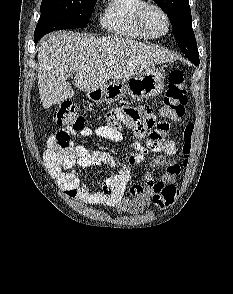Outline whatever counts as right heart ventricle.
I'll return each instance as SVG.
<instances>
[{"instance_id": "1", "label": "right heart ventricle", "mask_w": 233, "mask_h": 294, "mask_svg": "<svg viewBox=\"0 0 233 294\" xmlns=\"http://www.w3.org/2000/svg\"><path fill=\"white\" fill-rule=\"evenodd\" d=\"M145 0H107L100 15L101 27L114 35L135 39H153L139 25L137 14Z\"/></svg>"}]
</instances>
